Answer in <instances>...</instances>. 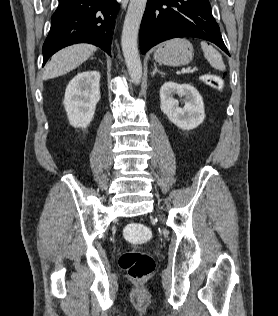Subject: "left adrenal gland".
Instances as JSON below:
<instances>
[{"label":"left adrenal gland","mask_w":278,"mask_h":316,"mask_svg":"<svg viewBox=\"0 0 278 316\" xmlns=\"http://www.w3.org/2000/svg\"><path fill=\"white\" fill-rule=\"evenodd\" d=\"M156 73H159L162 76L165 75V73H163L162 71L158 70L156 63H154V70L152 71L151 76H154Z\"/></svg>","instance_id":"1"}]
</instances>
